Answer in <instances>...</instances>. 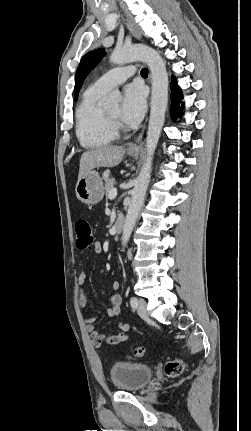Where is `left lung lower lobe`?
I'll use <instances>...</instances> for the list:
<instances>
[{"label": "left lung lower lobe", "mask_w": 251, "mask_h": 431, "mask_svg": "<svg viewBox=\"0 0 251 431\" xmlns=\"http://www.w3.org/2000/svg\"><path fill=\"white\" fill-rule=\"evenodd\" d=\"M171 90H172L171 116L174 120H176L178 117H181L182 115V110L184 109V103H182L181 107L179 106V104L181 103L180 97L182 96V92L177 85V81L174 78H172Z\"/></svg>", "instance_id": "obj_1"}]
</instances>
